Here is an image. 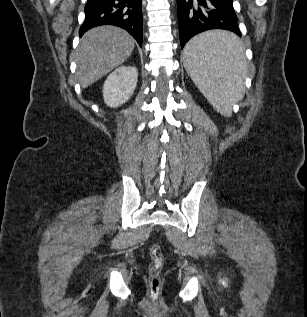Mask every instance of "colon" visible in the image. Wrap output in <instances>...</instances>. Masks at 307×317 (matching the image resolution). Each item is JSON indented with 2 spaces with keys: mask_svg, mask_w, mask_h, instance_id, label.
I'll use <instances>...</instances> for the list:
<instances>
[{
  "mask_svg": "<svg viewBox=\"0 0 307 317\" xmlns=\"http://www.w3.org/2000/svg\"><path fill=\"white\" fill-rule=\"evenodd\" d=\"M152 261L149 269V285L152 295H157L160 288V272L163 264L161 248L153 245L151 248Z\"/></svg>",
  "mask_w": 307,
  "mask_h": 317,
  "instance_id": "5ec220e1",
  "label": "colon"
}]
</instances>
